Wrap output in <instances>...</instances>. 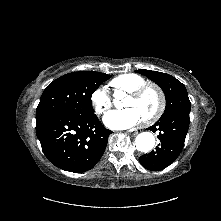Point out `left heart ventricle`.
<instances>
[{"label": "left heart ventricle", "instance_id": "obj_1", "mask_svg": "<svg viewBox=\"0 0 221 221\" xmlns=\"http://www.w3.org/2000/svg\"><path fill=\"white\" fill-rule=\"evenodd\" d=\"M159 99L154 90L146 91L139 98L127 97L123 103L124 108L134 109L141 120L151 116L157 109Z\"/></svg>", "mask_w": 221, "mask_h": 221}]
</instances>
